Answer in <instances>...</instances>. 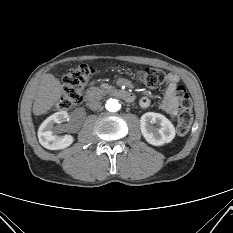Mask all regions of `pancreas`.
I'll use <instances>...</instances> for the list:
<instances>
[{
  "mask_svg": "<svg viewBox=\"0 0 233 233\" xmlns=\"http://www.w3.org/2000/svg\"><path fill=\"white\" fill-rule=\"evenodd\" d=\"M113 87L111 86V85H109V84H107V83H103V84H101V86H100V89H101V91H108V90H111ZM92 91H96V90H98L97 88H92L91 89Z\"/></svg>",
  "mask_w": 233,
  "mask_h": 233,
  "instance_id": "1",
  "label": "pancreas"
}]
</instances>
